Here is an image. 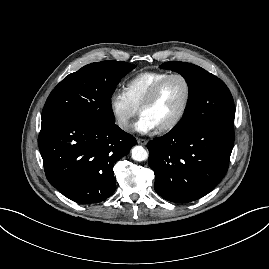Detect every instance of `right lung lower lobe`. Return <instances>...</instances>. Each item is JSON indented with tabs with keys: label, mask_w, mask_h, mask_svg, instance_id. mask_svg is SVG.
<instances>
[{
	"label": "right lung lower lobe",
	"mask_w": 269,
	"mask_h": 269,
	"mask_svg": "<svg viewBox=\"0 0 269 269\" xmlns=\"http://www.w3.org/2000/svg\"><path fill=\"white\" fill-rule=\"evenodd\" d=\"M38 144L50 184L76 203L94 204L114 193L113 166L136 139L115 124L58 116L42 120Z\"/></svg>",
	"instance_id": "right-lung-lower-lobe-1"
}]
</instances>
